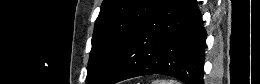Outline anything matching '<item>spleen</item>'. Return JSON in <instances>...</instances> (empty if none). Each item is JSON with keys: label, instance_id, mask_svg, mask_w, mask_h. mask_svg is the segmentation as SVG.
Instances as JSON below:
<instances>
[{"label": "spleen", "instance_id": "spleen-1", "mask_svg": "<svg viewBox=\"0 0 260 84\" xmlns=\"http://www.w3.org/2000/svg\"><path fill=\"white\" fill-rule=\"evenodd\" d=\"M152 84H180V83L176 80L156 79V80L152 81Z\"/></svg>", "mask_w": 260, "mask_h": 84}]
</instances>
